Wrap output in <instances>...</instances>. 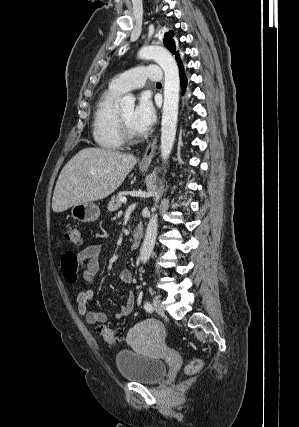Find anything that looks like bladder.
Returning <instances> with one entry per match:
<instances>
[{"label":"bladder","mask_w":299,"mask_h":427,"mask_svg":"<svg viewBox=\"0 0 299 427\" xmlns=\"http://www.w3.org/2000/svg\"><path fill=\"white\" fill-rule=\"evenodd\" d=\"M115 361L120 375L128 381L156 384L167 374L164 361L131 350L119 351Z\"/></svg>","instance_id":"1"}]
</instances>
